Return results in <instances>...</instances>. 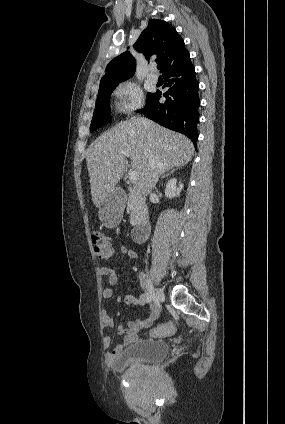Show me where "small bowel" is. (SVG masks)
Returning a JSON list of instances; mask_svg holds the SVG:
<instances>
[{
	"mask_svg": "<svg viewBox=\"0 0 285 424\" xmlns=\"http://www.w3.org/2000/svg\"><path fill=\"white\" fill-rule=\"evenodd\" d=\"M120 252L123 255L128 256L132 260H137L139 258L138 253L127 247L121 246ZM99 274L101 276L108 277V283L110 286H114L118 282V276L114 269L108 267H100ZM140 286H141V294L139 296L127 295L124 298V302L126 304H133L138 306H145L149 303L148 291L145 284V279L143 278V274L139 276ZM113 295V290L111 287L104 288L102 290V297L105 299L111 298ZM155 308H153L149 316L145 320L136 319L128 323V325H120L118 327V333L123 336V341L121 344L117 345L113 350L107 352L105 354V362L107 364H113L118 356V354L128 345L136 342L138 340L139 333L142 329L150 327L154 321L155 316ZM102 328H109L114 326V318L107 311H104L102 314ZM111 344V337L105 336L104 345L109 346Z\"/></svg>",
	"mask_w": 285,
	"mask_h": 424,
	"instance_id": "small-bowel-1",
	"label": "small bowel"
}]
</instances>
